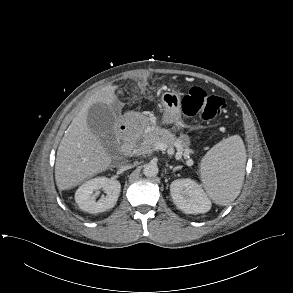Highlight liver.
<instances>
[{
	"label": "liver",
	"instance_id": "6515ba94",
	"mask_svg": "<svg viewBox=\"0 0 293 293\" xmlns=\"http://www.w3.org/2000/svg\"><path fill=\"white\" fill-rule=\"evenodd\" d=\"M116 89L117 86L108 85L95 92L65 131L55 163V181L59 190H69L110 166L111 157L91 132L87 114L95 103L113 104L117 99Z\"/></svg>",
	"mask_w": 293,
	"mask_h": 293
}]
</instances>
